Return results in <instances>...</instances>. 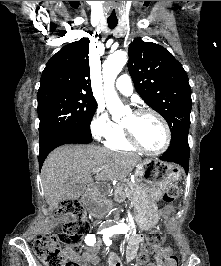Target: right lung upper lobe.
<instances>
[{"mask_svg":"<svg viewBox=\"0 0 221 266\" xmlns=\"http://www.w3.org/2000/svg\"><path fill=\"white\" fill-rule=\"evenodd\" d=\"M88 54V38L65 45L47 62L39 90L63 89L93 97Z\"/></svg>","mask_w":221,"mask_h":266,"instance_id":"obj_1","label":"right lung upper lobe"}]
</instances>
